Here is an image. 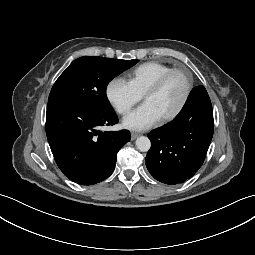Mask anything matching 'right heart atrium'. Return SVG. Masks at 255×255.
<instances>
[{
  "label": "right heart atrium",
  "mask_w": 255,
  "mask_h": 255,
  "mask_svg": "<svg viewBox=\"0 0 255 255\" xmlns=\"http://www.w3.org/2000/svg\"><path fill=\"white\" fill-rule=\"evenodd\" d=\"M105 95L112 107L121 115L127 114L142 96L122 78H112L106 85Z\"/></svg>",
  "instance_id": "obj_1"
}]
</instances>
